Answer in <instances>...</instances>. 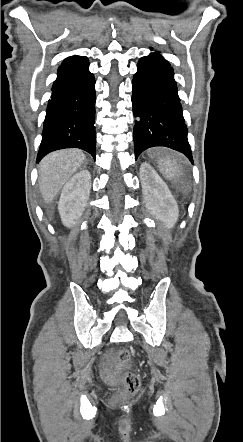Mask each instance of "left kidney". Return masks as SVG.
<instances>
[{
    "label": "left kidney",
    "instance_id": "left-kidney-1",
    "mask_svg": "<svg viewBox=\"0 0 243 442\" xmlns=\"http://www.w3.org/2000/svg\"><path fill=\"white\" fill-rule=\"evenodd\" d=\"M140 178L147 209L156 219L162 221L167 229L173 228L178 220L179 210L169 188L146 162L141 164Z\"/></svg>",
    "mask_w": 243,
    "mask_h": 442
}]
</instances>
